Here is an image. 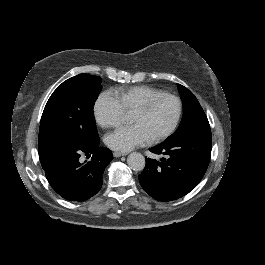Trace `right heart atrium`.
<instances>
[{
  "instance_id": "right-heart-atrium-1",
  "label": "right heart atrium",
  "mask_w": 265,
  "mask_h": 265,
  "mask_svg": "<svg viewBox=\"0 0 265 265\" xmlns=\"http://www.w3.org/2000/svg\"><path fill=\"white\" fill-rule=\"evenodd\" d=\"M122 114L120 102L112 93L108 92L101 94L93 107L95 121L102 128L118 126Z\"/></svg>"
}]
</instances>
